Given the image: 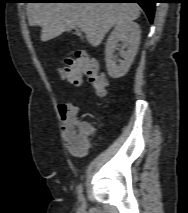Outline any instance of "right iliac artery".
<instances>
[{"label": "right iliac artery", "mask_w": 188, "mask_h": 213, "mask_svg": "<svg viewBox=\"0 0 188 213\" xmlns=\"http://www.w3.org/2000/svg\"><path fill=\"white\" fill-rule=\"evenodd\" d=\"M78 198H79L80 201L83 200L82 185H79V187H78Z\"/></svg>", "instance_id": "obj_1"}]
</instances>
